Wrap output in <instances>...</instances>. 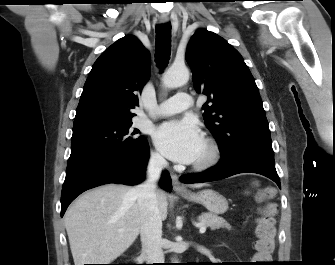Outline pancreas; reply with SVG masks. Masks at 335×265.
I'll list each match as a JSON object with an SVG mask.
<instances>
[{
  "instance_id": "cf45deb5",
  "label": "pancreas",
  "mask_w": 335,
  "mask_h": 265,
  "mask_svg": "<svg viewBox=\"0 0 335 265\" xmlns=\"http://www.w3.org/2000/svg\"><path fill=\"white\" fill-rule=\"evenodd\" d=\"M199 221L201 224H204L206 227H210L212 230L219 229L222 227L231 229L230 224L222 217L212 213H203L199 216Z\"/></svg>"
}]
</instances>
